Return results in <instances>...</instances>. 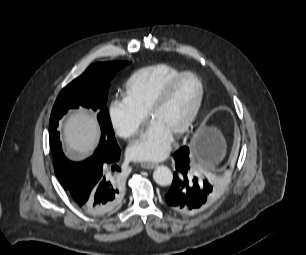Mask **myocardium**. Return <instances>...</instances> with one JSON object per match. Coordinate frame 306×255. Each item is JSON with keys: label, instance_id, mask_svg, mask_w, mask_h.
<instances>
[{"label": "myocardium", "instance_id": "obj_1", "mask_svg": "<svg viewBox=\"0 0 306 255\" xmlns=\"http://www.w3.org/2000/svg\"><path fill=\"white\" fill-rule=\"evenodd\" d=\"M187 77H192L197 81L199 85V95L189 116L187 117L185 122L181 125V127L175 132L174 135L177 137L185 134L192 127L203 105L205 88L201 78L196 73L191 71H184L179 75L175 76L174 78H172L154 98L146 113L147 118L151 119L153 114L163 106V104L168 99V97L170 96L174 88L177 86V84Z\"/></svg>", "mask_w": 306, "mask_h": 255}]
</instances>
